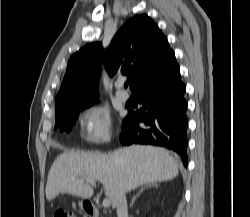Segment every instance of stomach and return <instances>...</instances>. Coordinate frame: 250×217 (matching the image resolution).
I'll return each mask as SVG.
<instances>
[{
	"label": "stomach",
	"mask_w": 250,
	"mask_h": 217,
	"mask_svg": "<svg viewBox=\"0 0 250 217\" xmlns=\"http://www.w3.org/2000/svg\"><path fill=\"white\" fill-rule=\"evenodd\" d=\"M79 207L81 208V210H85L84 209V201L79 202Z\"/></svg>",
	"instance_id": "0dacf381"
}]
</instances>
